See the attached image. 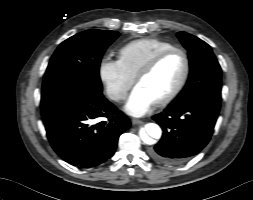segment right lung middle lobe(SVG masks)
<instances>
[{
    "label": "right lung middle lobe",
    "mask_w": 253,
    "mask_h": 200,
    "mask_svg": "<svg viewBox=\"0 0 253 200\" xmlns=\"http://www.w3.org/2000/svg\"><path fill=\"white\" fill-rule=\"evenodd\" d=\"M118 36L116 31L87 30L62 42L50 59L42 91L77 88L101 95L100 61Z\"/></svg>",
    "instance_id": "obj_1"
}]
</instances>
